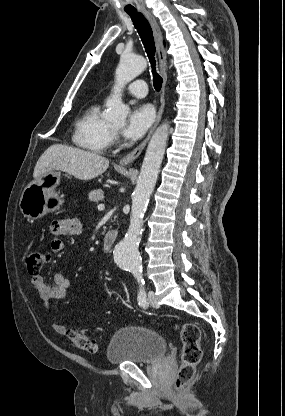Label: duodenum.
Instances as JSON below:
<instances>
[{
	"instance_id": "410a0bca",
	"label": "duodenum",
	"mask_w": 285,
	"mask_h": 416,
	"mask_svg": "<svg viewBox=\"0 0 285 416\" xmlns=\"http://www.w3.org/2000/svg\"><path fill=\"white\" fill-rule=\"evenodd\" d=\"M116 238L117 232L114 230H110L104 235L102 240V248L105 253H108L111 250Z\"/></svg>"
}]
</instances>
